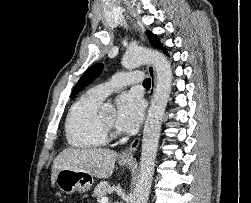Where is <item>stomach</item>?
<instances>
[{
    "instance_id": "0dacf381",
    "label": "stomach",
    "mask_w": 251,
    "mask_h": 203,
    "mask_svg": "<svg viewBox=\"0 0 251 203\" xmlns=\"http://www.w3.org/2000/svg\"><path fill=\"white\" fill-rule=\"evenodd\" d=\"M120 163L124 166H129L132 162L120 160ZM55 183L63 193L72 194L75 191L84 193L93 185L94 177L84 171L63 169L58 172Z\"/></svg>"
}]
</instances>
